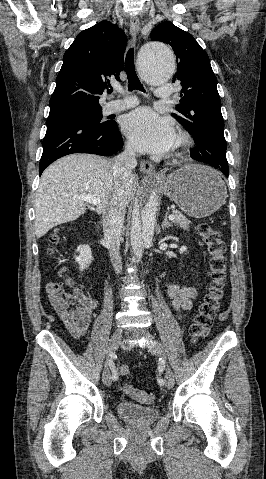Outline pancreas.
<instances>
[{"instance_id":"cf45deb5","label":"pancreas","mask_w":266,"mask_h":479,"mask_svg":"<svg viewBox=\"0 0 266 479\" xmlns=\"http://www.w3.org/2000/svg\"><path fill=\"white\" fill-rule=\"evenodd\" d=\"M173 214L175 215V219L173 220V223L179 225L181 228L184 230H189L191 221L186 218L182 212L178 210H173Z\"/></svg>"}]
</instances>
